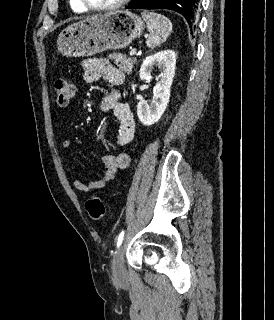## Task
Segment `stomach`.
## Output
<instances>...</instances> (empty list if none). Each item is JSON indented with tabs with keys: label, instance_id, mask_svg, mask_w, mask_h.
I'll return each instance as SVG.
<instances>
[{
	"label": "stomach",
	"instance_id": "1",
	"mask_svg": "<svg viewBox=\"0 0 274 320\" xmlns=\"http://www.w3.org/2000/svg\"><path fill=\"white\" fill-rule=\"evenodd\" d=\"M144 22L126 10L96 14L71 24L58 36L57 50L66 58L94 56L105 50H122L142 36Z\"/></svg>",
	"mask_w": 274,
	"mask_h": 320
}]
</instances>
